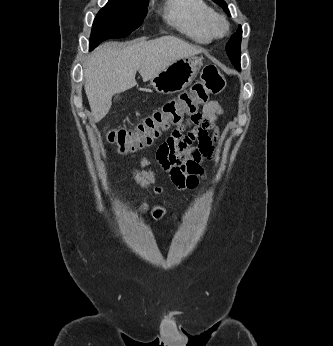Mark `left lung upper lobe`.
I'll return each mask as SVG.
<instances>
[{"label": "left lung upper lobe", "mask_w": 333, "mask_h": 346, "mask_svg": "<svg viewBox=\"0 0 333 346\" xmlns=\"http://www.w3.org/2000/svg\"><path fill=\"white\" fill-rule=\"evenodd\" d=\"M215 3H217L219 6H221L225 12L230 16L229 10L227 8V4L224 0H213ZM241 38H242V28L239 26L237 32L230 38L229 42L226 44V52L227 55L232 62V64L235 66V68L240 69V45H241Z\"/></svg>", "instance_id": "left-lung-upper-lobe-1"}]
</instances>
